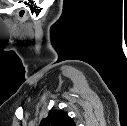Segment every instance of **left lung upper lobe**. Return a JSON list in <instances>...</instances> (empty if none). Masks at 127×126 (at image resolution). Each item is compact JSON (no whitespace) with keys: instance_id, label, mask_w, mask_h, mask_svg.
<instances>
[{"instance_id":"obj_1","label":"left lung upper lobe","mask_w":127,"mask_h":126,"mask_svg":"<svg viewBox=\"0 0 127 126\" xmlns=\"http://www.w3.org/2000/svg\"><path fill=\"white\" fill-rule=\"evenodd\" d=\"M40 126H75V122L65 111L52 110L42 119Z\"/></svg>"}]
</instances>
